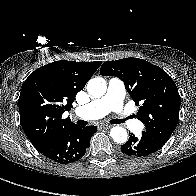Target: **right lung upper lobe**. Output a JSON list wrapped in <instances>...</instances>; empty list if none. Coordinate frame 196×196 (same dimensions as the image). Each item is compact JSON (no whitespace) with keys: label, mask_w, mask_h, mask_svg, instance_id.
Masks as SVG:
<instances>
[{"label":"right lung upper lobe","mask_w":196,"mask_h":196,"mask_svg":"<svg viewBox=\"0 0 196 196\" xmlns=\"http://www.w3.org/2000/svg\"><path fill=\"white\" fill-rule=\"evenodd\" d=\"M101 62L55 61L32 72L25 80L19 112L22 128L36 149L74 125L62 119L72 108L77 92L99 68Z\"/></svg>","instance_id":"obj_1"}]
</instances>
